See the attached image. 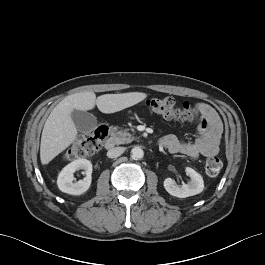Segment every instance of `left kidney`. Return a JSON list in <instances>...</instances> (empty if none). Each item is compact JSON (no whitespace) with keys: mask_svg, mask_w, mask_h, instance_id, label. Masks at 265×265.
<instances>
[{"mask_svg":"<svg viewBox=\"0 0 265 265\" xmlns=\"http://www.w3.org/2000/svg\"><path fill=\"white\" fill-rule=\"evenodd\" d=\"M186 173L190 176L191 181L188 184H183L181 187L171 178L164 180V188L170 195L178 198H186L203 191L204 181L202 176L190 167H186Z\"/></svg>","mask_w":265,"mask_h":265,"instance_id":"5707ae66","label":"left kidney"}]
</instances>
